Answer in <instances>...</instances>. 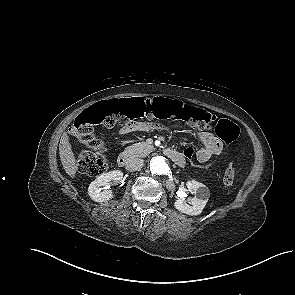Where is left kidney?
Instances as JSON below:
<instances>
[{"label": "left kidney", "instance_id": "5707ae66", "mask_svg": "<svg viewBox=\"0 0 295 295\" xmlns=\"http://www.w3.org/2000/svg\"><path fill=\"white\" fill-rule=\"evenodd\" d=\"M186 186L189 191L195 192V197L187 200L179 198L175 201L174 206L181 213L191 216L199 215L208 202L210 191L204 184L195 180L188 181Z\"/></svg>", "mask_w": 295, "mask_h": 295}]
</instances>
